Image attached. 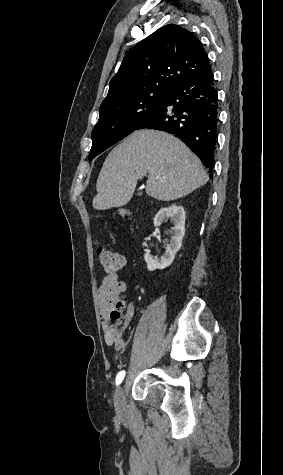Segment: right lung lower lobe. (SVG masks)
<instances>
[{
  "label": "right lung lower lobe",
  "mask_w": 283,
  "mask_h": 475,
  "mask_svg": "<svg viewBox=\"0 0 283 475\" xmlns=\"http://www.w3.org/2000/svg\"><path fill=\"white\" fill-rule=\"evenodd\" d=\"M218 97L212 71L174 86L136 130L165 131L181 139L210 173L218 130ZM212 178V174H210Z\"/></svg>",
  "instance_id": "98d812e1"
}]
</instances>
